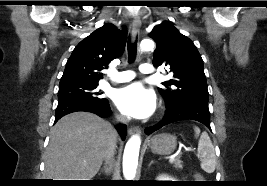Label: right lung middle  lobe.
Segmentation results:
<instances>
[{
	"label": "right lung middle lobe",
	"instance_id": "right-lung-middle-lobe-1",
	"mask_svg": "<svg viewBox=\"0 0 267 186\" xmlns=\"http://www.w3.org/2000/svg\"><path fill=\"white\" fill-rule=\"evenodd\" d=\"M97 86V83H73L60 85L58 99L63 100L78 97L97 101H107V99L100 97L102 93L96 90Z\"/></svg>",
	"mask_w": 267,
	"mask_h": 186
}]
</instances>
